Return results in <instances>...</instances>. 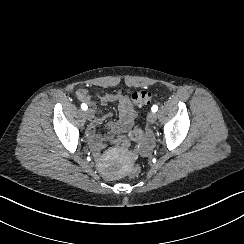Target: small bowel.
I'll return each instance as SVG.
<instances>
[{
    "mask_svg": "<svg viewBox=\"0 0 244 244\" xmlns=\"http://www.w3.org/2000/svg\"><path fill=\"white\" fill-rule=\"evenodd\" d=\"M75 97L78 101L86 102L89 104L91 112L95 115L94 121L90 127V135L94 137L99 142L104 140H114L115 135L120 133H127L131 131L134 121L136 118V112L131 104V101L126 96H119L114 93H98V97L103 104L117 103L119 107V119L114 121H109L106 125V134H96L95 130L100 126L105 118L109 115H101L97 113L96 105L91 101L89 92L84 88H79L75 92ZM134 140L138 141L142 151H146L149 148L150 138L144 136L139 129H135L132 133ZM127 141L125 136H120L115 140L117 143L124 144Z\"/></svg>",
    "mask_w": 244,
    "mask_h": 244,
    "instance_id": "c3829d8e",
    "label": "small bowel"
}]
</instances>
